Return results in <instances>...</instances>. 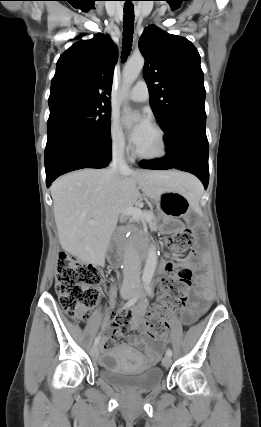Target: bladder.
<instances>
[{"label": "bladder", "mask_w": 261, "mask_h": 427, "mask_svg": "<svg viewBox=\"0 0 261 427\" xmlns=\"http://www.w3.org/2000/svg\"><path fill=\"white\" fill-rule=\"evenodd\" d=\"M99 376L117 389L134 393H147L161 385L164 380V372L160 367L136 371L122 365L113 353L103 358Z\"/></svg>", "instance_id": "bladder-1"}]
</instances>
